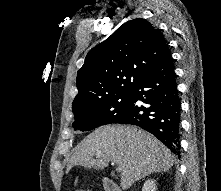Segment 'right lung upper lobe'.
Masks as SVG:
<instances>
[{"instance_id":"cb5924a9","label":"right lung upper lobe","mask_w":221,"mask_h":191,"mask_svg":"<svg viewBox=\"0 0 221 191\" xmlns=\"http://www.w3.org/2000/svg\"><path fill=\"white\" fill-rule=\"evenodd\" d=\"M169 53L162 33L148 21L137 18L124 23L88 52L77 73L73 112L132 91Z\"/></svg>"}]
</instances>
